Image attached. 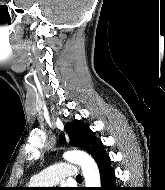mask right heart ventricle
Segmentation results:
<instances>
[{
	"label": "right heart ventricle",
	"instance_id": "e07e8e85",
	"mask_svg": "<svg viewBox=\"0 0 165 190\" xmlns=\"http://www.w3.org/2000/svg\"><path fill=\"white\" fill-rule=\"evenodd\" d=\"M29 186H30V187H35L36 185H35L33 182H30V183H29Z\"/></svg>",
	"mask_w": 165,
	"mask_h": 190
}]
</instances>
